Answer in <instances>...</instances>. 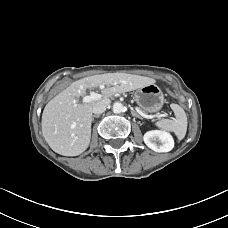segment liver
Wrapping results in <instances>:
<instances>
[{"label":"liver","mask_w":228,"mask_h":228,"mask_svg":"<svg viewBox=\"0 0 228 228\" xmlns=\"http://www.w3.org/2000/svg\"><path fill=\"white\" fill-rule=\"evenodd\" d=\"M153 78L127 74L105 73L85 77L71 83L45 106L42 114V134L50 148L64 156H77L90 143L92 109L99 101L110 102L109 97L154 84ZM100 87L102 99L78 103L87 89Z\"/></svg>","instance_id":"obj_1"}]
</instances>
